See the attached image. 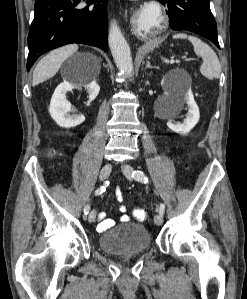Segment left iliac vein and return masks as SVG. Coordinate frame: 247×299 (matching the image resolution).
Masks as SVG:
<instances>
[{
  "mask_svg": "<svg viewBox=\"0 0 247 299\" xmlns=\"http://www.w3.org/2000/svg\"><path fill=\"white\" fill-rule=\"evenodd\" d=\"M122 171H123L124 175H125L129 180L132 179L133 168H132L130 165H128V164H124V165L122 166ZM154 222H155V224L158 225V226L162 225V223H163V218H162V216H161L160 214L155 215V217H154Z\"/></svg>",
  "mask_w": 247,
  "mask_h": 299,
  "instance_id": "obj_1",
  "label": "left iliac vein"
}]
</instances>
